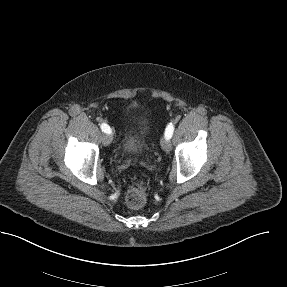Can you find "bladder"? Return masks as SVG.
<instances>
[{
	"instance_id": "1",
	"label": "bladder",
	"mask_w": 287,
	"mask_h": 287,
	"mask_svg": "<svg viewBox=\"0 0 287 287\" xmlns=\"http://www.w3.org/2000/svg\"><path fill=\"white\" fill-rule=\"evenodd\" d=\"M142 148V143L137 142L132 136L127 137L123 143V149L127 152H139Z\"/></svg>"
}]
</instances>
